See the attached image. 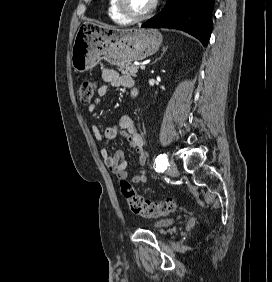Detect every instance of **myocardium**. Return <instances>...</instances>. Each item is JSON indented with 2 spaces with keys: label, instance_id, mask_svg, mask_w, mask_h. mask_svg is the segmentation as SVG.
Listing matches in <instances>:
<instances>
[{
  "label": "myocardium",
  "instance_id": "f54148a6",
  "mask_svg": "<svg viewBox=\"0 0 272 282\" xmlns=\"http://www.w3.org/2000/svg\"><path fill=\"white\" fill-rule=\"evenodd\" d=\"M158 0H153V3L148 11L142 14H136L133 12L127 4V0H116L117 10L130 21H140L150 17L156 10Z\"/></svg>",
  "mask_w": 272,
  "mask_h": 282
}]
</instances>
